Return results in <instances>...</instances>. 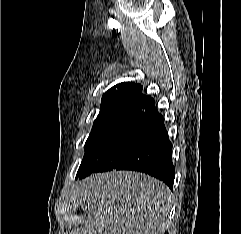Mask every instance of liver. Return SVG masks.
<instances>
[{
  "label": "liver",
  "mask_w": 241,
  "mask_h": 234,
  "mask_svg": "<svg viewBox=\"0 0 241 234\" xmlns=\"http://www.w3.org/2000/svg\"><path fill=\"white\" fill-rule=\"evenodd\" d=\"M172 196L161 181L142 173L92 174L76 190L85 221L75 234H164Z\"/></svg>",
  "instance_id": "1"
}]
</instances>
